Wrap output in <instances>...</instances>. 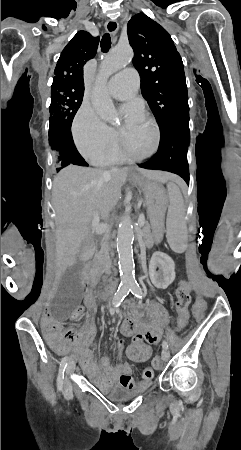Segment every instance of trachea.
Wrapping results in <instances>:
<instances>
[{
	"instance_id": "1",
	"label": "trachea",
	"mask_w": 241,
	"mask_h": 450,
	"mask_svg": "<svg viewBox=\"0 0 241 450\" xmlns=\"http://www.w3.org/2000/svg\"><path fill=\"white\" fill-rule=\"evenodd\" d=\"M111 43L112 42L109 33H105L100 43L102 52L104 53L108 52V50L111 48Z\"/></svg>"
}]
</instances>
